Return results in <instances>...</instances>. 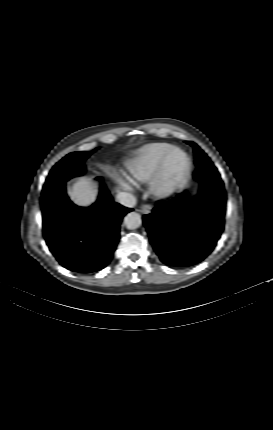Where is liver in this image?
I'll list each match as a JSON object with an SVG mask.
<instances>
[{"label":"liver","mask_w":273,"mask_h":430,"mask_svg":"<svg viewBox=\"0 0 273 430\" xmlns=\"http://www.w3.org/2000/svg\"><path fill=\"white\" fill-rule=\"evenodd\" d=\"M98 191L88 178H80L68 190L71 201L83 208L90 207L97 199Z\"/></svg>","instance_id":"1"}]
</instances>
